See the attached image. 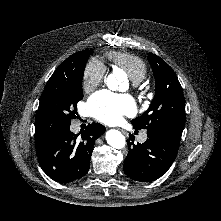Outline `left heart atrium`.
Segmentation results:
<instances>
[{
  "instance_id": "1",
  "label": "left heart atrium",
  "mask_w": 221,
  "mask_h": 221,
  "mask_svg": "<svg viewBox=\"0 0 221 221\" xmlns=\"http://www.w3.org/2000/svg\"><path fill=\"white\" fill-rule=\"evenodd\" d=\"M87 108L95 119L107 124H116L123 116H130L136 112L135 102L129 95L108 90H101L92 95Z\"/></svg>"
}]
</instances>
